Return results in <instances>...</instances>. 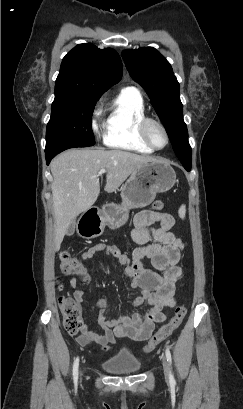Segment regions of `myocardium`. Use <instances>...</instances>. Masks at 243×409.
<instances>
[{
    "label": "myocardium",
    "mask_w": 243,
    "mask_h": 409,
    "mask_svg": "<svg viewBox=\"0 0 243 409\" xmlns=\"http://www.w3.org/2000/svg\"><path fill=\"white\" fill-rule=\"evenodd\" d=\"M157 125L158 127L161 128V130L163 131L164 135H165V144L162 147H158L156 146L151 137H150V133H149V127L151 125ZM140 134L141 137L143 138V140L145 141V143L151 147L153 150L156 151H160L165 149L168 145H169V133L167 128L165 127V125L158 119L156 118H151V117H144L141 121H140Z\"/></svg>",
    "instance_id": "1"
}]
</instances>
